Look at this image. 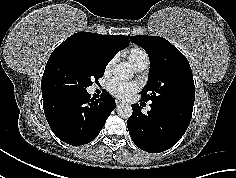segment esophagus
<instances>
[{
    "label": "esophagus",
    "mask_w": 236,
    "mask_h": 178,
    "mask_svg": "<svg viewBox=\"0 0 236 178\" xmlns=\"http://www.w3.org/2000/svg\"><path fill=\"white\" fill-rule=\"evenodd\" d=\"M121 104H122V102L120 100H116V106H119Z\"/></svg>",
    "instance_id": "34e87169"
}]
</instances>
